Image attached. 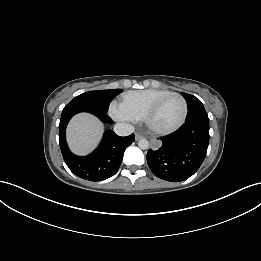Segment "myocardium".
<instances>
[{"label":"myocardium","mask_w":261,"mask_h":261,"mask_svg":"<svg viewBox=\"0 0 261 261\" xmlns=\"http://www.w3.org/2000/svg\"><path fill=\"white\" fill-rule=\"evenodd\" d=\"M178 97L183 105V112H182V116L180 118V120L177 122V124H175L173 127L168 128V129H157L155 127H153L151 125V119L154 116V114L156 113V111L159 109V107L161 106V104L168 98L170 97ZM188 115V104L186 99L184 98L183 95H181L180 93L177 92H169L167 94H165L164 96L160 97L159 99H157L146 111V113L144 114L143 117V122L145 124V126L147 127V129L149 131H151L154 134L157 135H168L171 134L175 131H177L179 128L182 127V125L185 123L186 118Z\"/></svg>","instance_id":"f54148a6"}]
</instances>
